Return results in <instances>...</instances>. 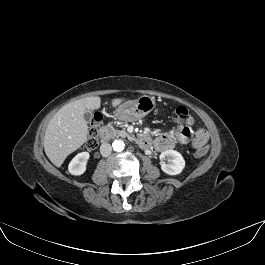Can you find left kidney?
<instances>
[{"mask_svg":"<svg viewBox=\"0 0 265 265\" xmlns=\"http://www.w3.org/2000/svg\"><path fill=\"white\" fill-rule=\"evenodd\" d=\"M161 169L168 175H178L185 167L183 156L175 150H167L160 154Z\"/></svg>","mask_w":265,"mask_h":265,"instance_id":"left-kidney-1","label":"left kidney"}]
</instances>
